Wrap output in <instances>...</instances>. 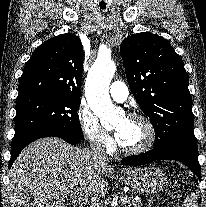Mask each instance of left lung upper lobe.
<instances>
[{"mask_svg": "<svg viewBox=\"0 0 206 207\" xmlns=\"http://www.w3.org/2000/svg\"><path fill=\"white\" fill-rule=\"evenodd\" d=\"M127 81L156 132L154 150L196 143L192 99L183 61L163 37L141 32L120 46Z\"/></svg>", "mask_w": 206, "mask_h": 207, "instance_id": "5c2ea615", "label": "left lung upper lobe"}]
</instances>
